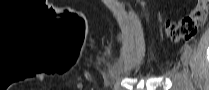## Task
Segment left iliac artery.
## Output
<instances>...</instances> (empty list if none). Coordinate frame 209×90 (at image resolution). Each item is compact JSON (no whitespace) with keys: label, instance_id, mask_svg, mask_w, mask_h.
Instances as JSON below:
<instances>
[{"label":"left iliac artery","instance_id":"1","mask_svg":"<svg viewBox=\"0 0 209 90\" xmlns=\"http://www.w3.org/2000/svg\"><path fill=\"white\" fill-rule=\"evenodd\" d=\"M184 50L190 55L193 51L191 45L185 43L184 46H183Z\"/></svg>","mask_w":209,"mask_h":90}]
</instances>
